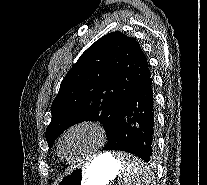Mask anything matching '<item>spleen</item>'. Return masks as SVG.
I'll use <instances>...</instances> for the list:
<instances>
[{
    "label": "spleen",
    "instance_id": "3e777b00",
    "mask_svg": "<svg viewBox=\"0 0 207 185\" xmlns=\"http://www.w3.org/2000/svg\"><path fill=\"white\" fill-rule=\"evenodd\" d=\"M116 158L121 167L117 185H146L147 179H155L143 159H133L136 153H116Z\"/></svg>",
    "mask_w": 207,
    "mask_h": 185
}]
</instances>
